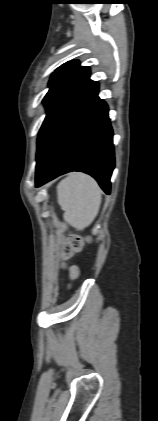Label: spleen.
I'll use <instances>...</instances> for the list:
<instances>
[{"label": "spleen", "mask_w": 158, "mask_h": 421, "mask_svg": "<svg viewBox=\"0 0 158 421\" xmlns=\"http://www.w3.org/2000/svg\"><path fill=\"white\" fill-rule=\"evenodd\" d=\"M58 203L64 220L77 230L89 226L101 205V191L97 182L82 173H71L57 185Z\"/></svg>", "instance_id": "spleen-1"}]
</instances>
